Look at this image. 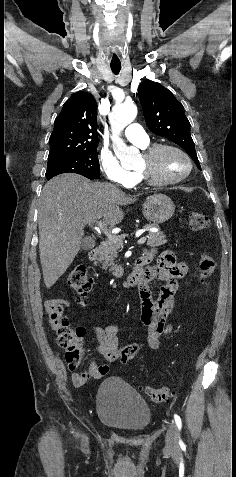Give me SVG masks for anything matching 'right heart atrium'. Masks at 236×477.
Wrapping results in <instances>:
<instances>
[{
  "instance_id": "right-heart-atrium-1",
  "label": "right heart atrium",
  "mask_w": 236,
  "mask_h": 477,
  "mask_svg": "<svg viewBox=\"0 0 236 477\" xmlns=\"http://www.w3.org/2000/svg\"><path fill=\"white\" fill-rule=\"evenodd\" d=\"M99 167L106 179L115 185L128 187L134 182L133 173L126 170L115 156L106 150L99 154Z\"/></svg>"
}]
</instances>
